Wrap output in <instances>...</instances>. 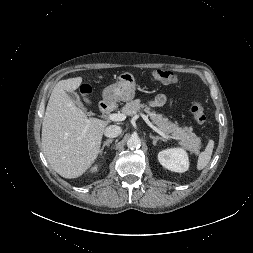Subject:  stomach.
I'll return each instance as SVG.
<instances>
[{"label":"stomach","mask_w":253,"mask_h":253,"mask_svg":"<svg viewBox=\"0 0 253 253\" xmlns=\"http://www.w3.org/2000/svg\"><path fill=\"white\" fill-rule=\"evenodd\" d=\"M136 82L134 76L125 72L119 76V81L106 87L103 97L107 101H131L135 96Z\"/></svg>","instance_id":"stomach-1"}]
</instances>
